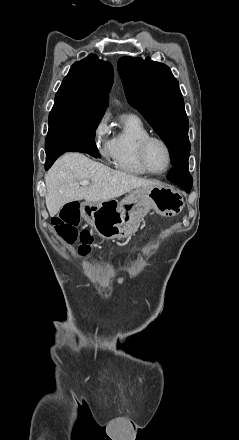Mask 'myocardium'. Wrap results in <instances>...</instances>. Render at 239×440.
I'll return each instance as SVG.
<instances>
[{
    "mask_svg": "<svg viewBox=\"0 0 239 440\" xmlns=\"http://www.w3.org/2000/svg\"><path fill=\"white\" fill-rule=\"evenodd\" d=\"M153 142L161 143L167 152L168 164L165 170H163L162 172H156L152 170L148 161V148ZM138 156L142 167L146 170L148 174H151L153 176H161L166 174L170 170L173 162V155L170 145L165 139L157 135H148L140 140L138 144Z\"/></svg>",
    "mask_w": 239,
    "mask_h": 440,
    "instance_id": "f54148a6",
    "label": "myocardium"
}]
</instances>
